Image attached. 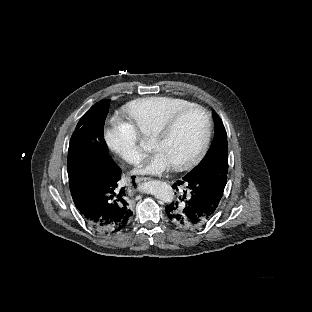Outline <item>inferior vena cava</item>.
<instances>
[{"instance_id": "inferior-vena-cava-1", "label": "inferior vena cava", "mask_w": 312, "mask_h": 312, "mask_svg": "<svg viewBox=\"0 0 312 312\" xmlns=\"http://www.w3.org/2000/svg\"><path fill=\"white\" fill-rule=\"evenodd\" d=\"M134 159H137V162H140L141 157L138 155L137 157H134Z\"/></svg>"}]
</instances>
